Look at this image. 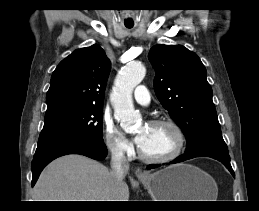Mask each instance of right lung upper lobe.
Wrapping results in <instances>:
<instances>
[{
  "mask_svg": "<svg viewBox=\"0 0 259 211\" xmlns=\"http://www.w3.org/2000/svg\"><path fill=\"white\" fill-rule=\"evenodd\" d=\"M109 72L110 61L99 45L75 50L52 74L44 122L103 106Z\"/></svg>",
  "mask_w": 259,
  "mask_h": 211,
  "instance_id": "1",
  "label": "right lung upper lobe"
}]
</instances>
